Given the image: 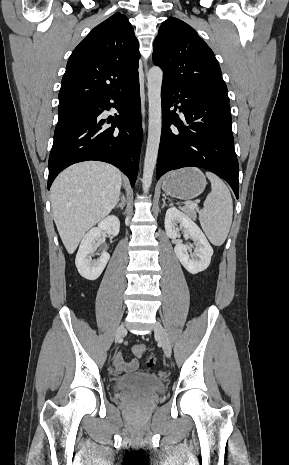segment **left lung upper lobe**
<instances>
[{
  "label": "left lung upper lobe",
  "mask_w": 289,
  "mask_h": 465,
  "mask_svg": "<svg viewBox=\"0 0 289 465\" xmlns=\"http://www.w3.org/2000/svg\"><path fill=\"white\" fill-rule=\"evenodd\" d=\"M153 62L163 69V83L229 102L213 51L180 19L170 17L161 24L154 42Z\"/></svg>",
  "instance_id": "obj_1"
}]
</instances>
